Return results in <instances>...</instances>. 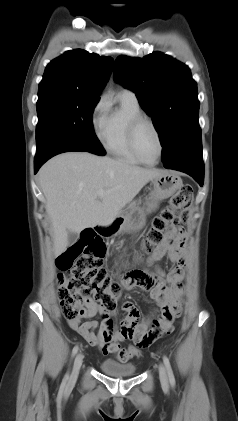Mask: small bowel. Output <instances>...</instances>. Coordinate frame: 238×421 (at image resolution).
Segmentation results:
<instances>
[{
  "instance_id": "obj_1",
  "label": "small bowel",
  "mask_w": 238,
  "mask_h": 421,
  "mask_svg": "<svg viewBox=\"0 0 238 421\" xmlns=\"http://www.w3.org/2000/svg\"><path fill=\"white\" fill-rule=\"evenodd\" d=\"M185 234L174 230L168 234L166 242L159 246L153 253L150 263L167 258L171 267L165 271L157 269L155 273L142 270H133L125 276L127 288H140L149 293L161 311L158 319L152 322L151 328L147 322L141 320L140 311L136 304L130 301L123 303L126 316L118 330H113L111 322L104 319L93 318L97 314L107 312L105 308L92 301H87L84 313L76 320H68L69 326L80 334L88 344L97 347L104 355L115 353L120 343L125 340L133 341L137 346L147 347L152 342L147 339L156 333L163 324L169 322L180 310L184 294L183 280L186 267Z\"/></svg>"
}]
</instances>
